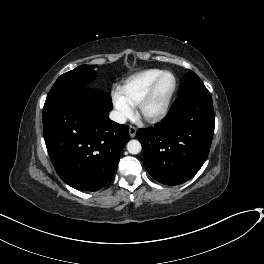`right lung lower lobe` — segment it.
<instances>
[{"label": "right lung lower lobe", "mask_w": 264, "mask_h": 264, "mask_svg": "<svg viewBox=\"0 0 264 264\" xmlns=\"http://www.w3.org/2000/svg\"><path fill=\"white\" fill-rule=\"evenodd\" d=\"M108 93L85 87L43 108V133L59 177L85 191L102 188L114 175L129 127L111 121Z\"/></svg>", "instance_id": "right-lung-lower-lobe-1"}]
</instances>
